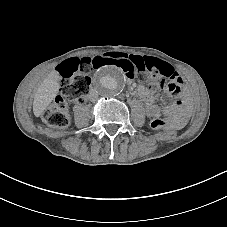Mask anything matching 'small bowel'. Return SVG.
Here are the masks:
<instances>
[{"label":"small bowel","mask_w":227,"mask_h":227,"mask_svg":"<svg viewBox=\"0 0 227 227\" xmlns=\"http://www.w3.org/2000/svg\"><path fill=\"white\" fill-rule=\"evenodd\" d=\"M182 90L183 86L179 92H182ZM138 94L147 103L146 113L149 117L156 118L162 114H166L175 117L178 126L182 125L186 121L188 117V110L187 104L184 101L178 100L171 106L161 107L154 103L156 95L153 90L140 86L138 88Z\"/></svg>","instance_id":"1"}]
</instances>
